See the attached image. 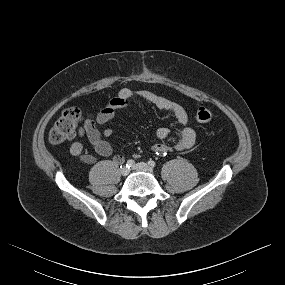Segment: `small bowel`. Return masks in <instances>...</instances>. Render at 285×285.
Masks as SVG:
<instances>
[{
  "label": "small bowel",
  "mask_w": 285,
  "mask_h": 285,
  "mask_svg": "<svg viewBox=\"0 0 285 285\" xmlns=\"http://www.w3.org/2000/svg\"><path fill=\"white\" fill-rule=\"evenodd\" d=\"M132 99L145 100L159 110L174 116L181 127L179 139L174 145L176 151H187L193 147L196 133L190 125V117L183 106L149 90H131L128 88L121 89L96 115H88L83 126L77 130V136L79 138L86 137L100 156H111L112 147L102 138V135L105 138H110L113 130L110 127H106L103 133H101L98 126L110 122L115 117L116 111L128 107ZM170 134L171 130L166 127H161L156 131V137L159 140L166 139ZM152 149L156 154L165 155L171 150V147L165 143H157L153 145ZM70 153L86 164H93L97 160L95 156L84 152L83 144L80 140H74L71 143ZM113 161L120 164L124 161V157L115 155Z\"/></svg>",
  "instance_id": "small-bowel-1"
}]
</instances>
